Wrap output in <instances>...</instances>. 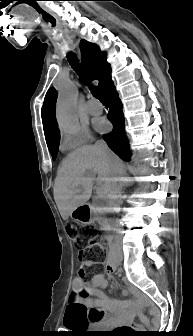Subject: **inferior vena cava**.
Instances as JSON below:
<instances>
[{"mask_svg": "<svg viewBox=\"0 0 193 336\" xmlns=\"http://www.w3.org/2000/svg\"><path fill=\"white\" fill-rule=\"evenodd\" d=\"M95 147L99 150V152L102 153L103 156H108L109 149L106 143L102 141H98L95 144ZM105 162L109 164L111 161L107 159ZM108 168L110 170H113L114 172H117L119 170V167L116 163L115 164L110 163L108 165ZM118 181H119L118 179H113L112 184L110 186L109 194H108V198L111 201V204L115 207L119 206L121 203L119 185L117 184Z\"/></svg>", "mask_w": 193, "mask_h": 336, "instance_id": "602c4592", "label": "inferior vena cava"}]
</instances>
